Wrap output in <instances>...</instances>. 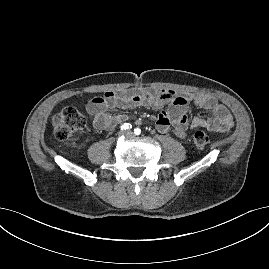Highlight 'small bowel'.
<instances>
[{
  "label": "small bowel",
  "mask_w": 269,
  "mask_h": 269,
  "mask_svg": "<svg viewBox=\"0 0 269 269\" xmlns=\"http://www.w3.org/2000/svg\"><path fill=\"white\" fill-rule=\"evenodd\" d=\"M191 103L208 111L210 116L189 119L187 111ZM165 105H168V109L162 111L156 119V129L160 133L172 130L178 138L184 139L189 129L205 128L211 132L227 133L233 127L230 112L215 97L206 94L180 95L172 90L107 91L102 96L93 98L87 104L86 110L97 129L111 130L127 120V116L111 114L108 112L110 109H131L141 106L159 109Z\"/></svg>",
  "instance_id": "c3829d8e"
}]
</instances>
